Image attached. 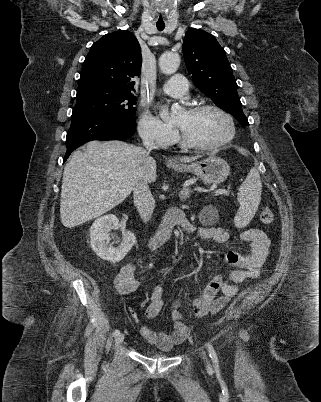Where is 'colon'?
Returning a JSON list of instances; mask_svg holds the SVG:
<instances>
[{"mask_svg": "<svg viewBox=\"0 0 321 402\" xmlns=\"http://www.w3.org/2000/svg\"><path fill=\"white\" fill-rule=\"evenodd\" d=\"M260 220L263 224H271L274 220V214L271 208L269 207H265L260 214ZM211 299H206V300H202L201 302H199L196 306L195 312L196 314H205L208 312L209 308H210V304H211ZM133 316L135 317V314L132 313Z\"/></svg>", "mask_w": 321, "mask_h": 402, "instance_id": "obj_1", "label": "colon"}]
</instances>
